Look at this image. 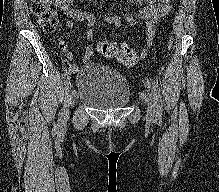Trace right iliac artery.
<instances>
[{"instance_id": "obj_1", "label": "right iliac artery", "mask_w": 219, "mask_h": 192, "mask_svg": "<svg viewBox=\"0 0 219 192\" xmlns=\"http://www.w3.org/2000/svg\"><path fill=\"white\" fill-rule=\"evenodd\" d=\"M69 82H70V77L69 76L65 77L64 83H69Z\"/></svg>"}]
</instances>
